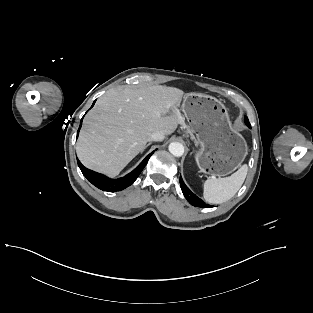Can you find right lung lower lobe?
Masks as SVG:
<instances>
[{
    "mask_svg": "<svg viewBox=\"0 0 313 313\" xmlns=\"http://www.w3.org/2000/svg\"><path fill=\"white\" fill-rule=\"evenodd\" d=\"M94 103H95V101H94ZM94 103H93V105H94ZM81 125H82V120H81V123H80V127L78 129V132H77V136H78L79 130L81 128ZM152 154H153V152L150 153L149 155H147L145 157V159L139 164V166L137 168H135L132 172H130L126 176H124L122 178H118V179H111V178L106 177L105 175H102L100 173H97V172H94L92 170H89V169L85 168L80 163V161L78 159H77V162H78V166H79L81 172L83 173V175L94 186H96L97 188H99V189H101L103 191L115 192V191L123 190L126 187H128V186H130L131 184L134 183V181L137 179L139 174L144 169L147 161L149 160V158H150V156Z\"/></svg>",
    "mask_w": 313,
    "mask_h": 313,
    "instance_id": "1",
    "label": "right lung lower lobe"
}]
</instances>
